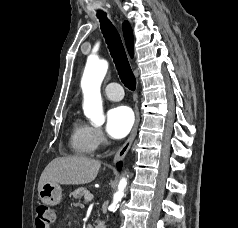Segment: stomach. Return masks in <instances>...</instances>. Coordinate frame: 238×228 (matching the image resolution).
<instances>
[{
  "mask_svg": "<svg viewBox=\"0 0 238 228\" xmlns=\"http://www.w3.org/2000/svg\"><path fill=\"white\" fill-rule=\"evenodd\" d=\"M40 200L47 205H57L62 199V189L57 183H45L38 193Z\"/></svg>",
  "mask_w": 238,
  "mask_h": 228,
  "instance_id": "1",
  "label": "stomach"
}]
</instances>
